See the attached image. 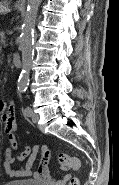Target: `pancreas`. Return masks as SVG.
Here are the masks:
<instances>
[{
    "label": "pancreas",
    "mask_w": 119,
    "mask_h": 185,
    "mask_svg": "<svg viewBox=\"0 0 119 185\" xmlns=\"http://www.w3.org/2000/svg\"><path fill=\"white\" fill-rule=\"evenodd\" d=\"M0 43H1L2 46H6L7 45V40H6L4 32H0Z\"/></svg>",
    "instance_id": "obj_1"
}]
</instances>
